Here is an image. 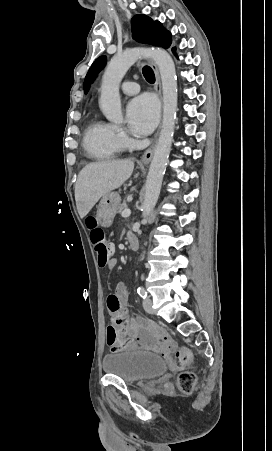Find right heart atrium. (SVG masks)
Returning a JSON list of instances; mask_svg holds the SVG:
<instances>
[{"instance_id": "d8ad5b80", "label": "right heart atrium", "mask_w": 272, "mask_h": 451, "mask_svg": "<svg viewBox=\"0 0 272 451\" xmlns=\"http://www.w3.org/2000/svg\"><path fill=\"white\" fill-rule=\"evenodd\" d=\"M116 140L119 143H123L126 140V133L124 129L118 125H110Z\"/></svg>"}]
</instances>
